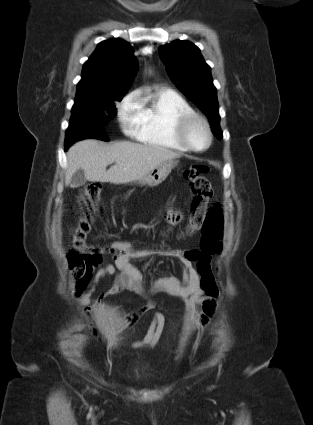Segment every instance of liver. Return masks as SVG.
<instances>
[{
    "mask_svg": "<svg viewBox=\"0 0 313 425\" xmlns=\"http://www.w3.org/2000/svg\"><path fill=\"white\" fill-rule=\"evenodd\" d=\"M180 158L167 148L129 141L104 145L93 139L75 143L67 152L65 185L82 169L86 180L125 184L139 180L166 160ZM115 163L106 170L107 166Z\"/></svg>",
    "mask_w": 313,
    "mask_h": 425,
    "instance_id": "liver-1",
    "label": "liver"
}]
</instances>
